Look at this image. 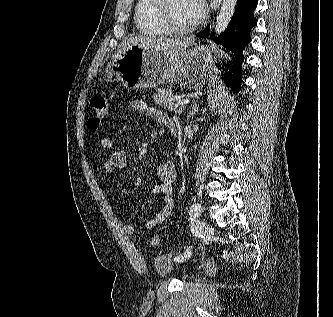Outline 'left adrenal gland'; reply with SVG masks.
Instances as JSON below:
<instances>
[{
  "label": "left adrenal gland",
  "instance_id": "left-adrenal-gland-1",
  "mask_svg": "<svg viewBox=\"0 0 333 317\" xmlns=\"http://www.w3.org/2000/svg\"><path fill=\"white\" fill-rule=\"evenodd\" d=\"M198 110H199V109H198V106H197V102H194L191 111L188 113L187 120H189V118H190L191 116H193L196 112H198Z\"/></svg>",
  "mask_w": 333,
  "mask_h": 317
}]
</instances>
